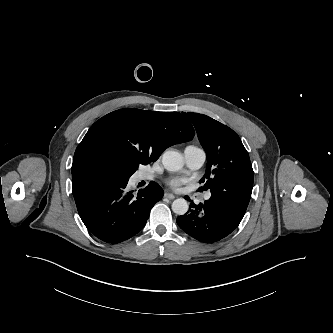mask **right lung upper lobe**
<instances>
[{"instance_id": "1", "label": "right lung upper lobe", "mask_w": 333, "mask_h": 333, "mask_svg": "<svg viewBox=\"0 0 333 333\" xmlns=\"http://www.w3.org/2000/svg\"><path fill=\"white\" fill-rule=\"evenodd\" d=\"M194 134L190 122L178 112L135 108L111 112L92 125L76 148L72 178L92 171L91 165L99 161L113 165L119 173L135 172Z\"/></svg>"}]
</instances>
